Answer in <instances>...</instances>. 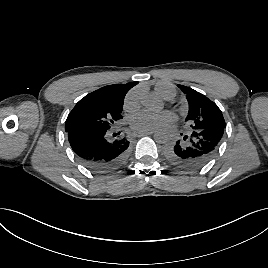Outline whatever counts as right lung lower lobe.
<instances>
[{
    "instance_id": "1",
    "label": "right lung lower lobe",
    "mask_w": 268,
    "mask_h": 268,
    "mask_svg": "<svg viewBox=\"0 0 268 268\" xmlns=\"http://www.w3.org/2000/svg\"><path fill=\"white\" fill-rule=\"evenodd\" d=\"M67 133L77 158L92 171L111 172L126 159L129 141L125 137L111 139L109 130L71 129Z\"/></svg>"
}]
</instances>
